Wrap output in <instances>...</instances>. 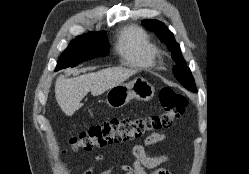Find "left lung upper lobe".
I'll list each match as a JSON object with an SVG mask.
<instances>
[{
  "instance_id": "5c2ea615",
  "label": "left lung upper lobe",
  "mask_w": 249,
  "mask_h": 174,
  "mask_svg": "<svg viewBox=\"0 0 249 174\" xmlns=\"http://www.w3.org/2000/svg\"><path fill=\"white\" fill-rule=\"evenodd\" d=\"M142 25L149 31H153L165 43L172 53V59L176 62L173 69L176 79L188 90L196 91L194 78L190 69L186 66L180 51L179 44L176 43L173 34L164 25V23L157 20H143Z\"/></svg>"
}]
</instances>
